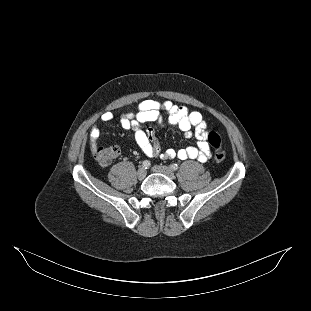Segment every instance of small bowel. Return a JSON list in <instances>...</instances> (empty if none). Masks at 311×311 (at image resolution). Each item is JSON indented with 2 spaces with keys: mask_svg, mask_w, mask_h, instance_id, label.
<instances>
[{
  "mask_svg": "<svg viewBox=\"0 0 311 311\" xmlns=\"http://www.w3.org/2000/svg\"><path fill=\"white\" fill-rule=\"evenodd\" d=\"M167 114L166 121L172 126L178 127L185 137L195 136L197 143L195 146H188L183 149L161 150L154 130L149 128L144 130L143 123L157 122L163 125L164 118L162 113ZM114 115L111 112H105L100 119L103 122H110ZM120 123L125 130L132 131L134 139L143 151L150 158L161 159H198L205 162L211 157L210 146L207 140V123L199 111H190L185 106L175 105L172 101L144 100L137 106L136 112L122 113ZM100 137V130L97 125H93L89 133V143L92 149H95Z\"/></svg>",
  "mask_w": 311,
  "mask_h": 311,
  "instance_id": "c3829d8e",
  "label": "small bowel"
}]
</instances>
